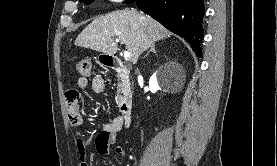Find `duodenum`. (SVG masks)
<instances>
[{
    "label": "duodenum",
    "mask_w": 277,
    "mask_h": 166,
    "mask_svg": "<svg viewBox=\"0 0 277 166\" xmlns=\"http://www.w3.org/2000/svg\"><path fill=\"white\" fill-rule=\"evenodd\" d=\"M108 66L115 71L119 77L126 79L128 69L124 63L118 58H111L108 61ZM121 120L125 126H129L132 120L133 105L129 96H125L120 102Z\"/></svg>",
    "instance_id": "410a0bca"
}]
</instances>
